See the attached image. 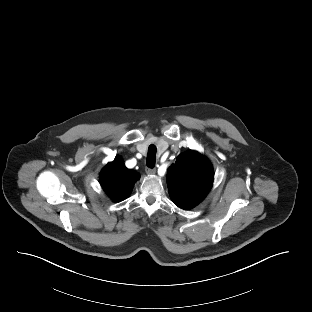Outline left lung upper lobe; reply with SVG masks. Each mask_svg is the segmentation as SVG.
<instances>
[{"instance_id":"1","label":"left lung upper lobe","mask_w":312,"mask_h":312,"mask_svg":"<svg viewBox=\"0 0 312 312\" xmlns=\"http://www.w3.org/2000/svg\"><path fill=\"white\" fill-rule=\"evenodd\" d=\"M213 177L211 163L198 152L189 150L179 155L168 169L169 195L178 207L191 209L208 194Z\"/></svg>"}]
</instances>
